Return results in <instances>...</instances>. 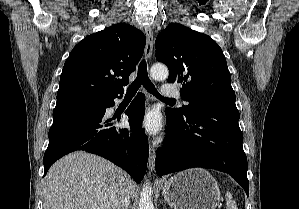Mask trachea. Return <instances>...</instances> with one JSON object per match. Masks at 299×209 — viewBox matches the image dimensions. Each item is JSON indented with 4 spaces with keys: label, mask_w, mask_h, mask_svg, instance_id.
Listing matches in <instances>:
<instances>
[{
    "label": "trachea",
    "mask_w": 299,
    "mask_h": 209,
    "mask_svg": "<svg viewBox=\"0 0 299 209\" xmlns=\"http://www.w3.org/2000/svg\"><path fill=\"white\" fill-rule=\"evenodd\" d=\"M141 85H143L149 93L153 94L155 97L159 98L160 100L175 101V99L162 97L158 93L155 86L153 85V83L151 82V80L148 77L147 64H146L145 60L140 62L139 67H138L137 78L128 87L127 92H126V96H134L136 94L137 90L141 87Z\"/></svg>",
    "instance_id": "1"
}]
</instances>
